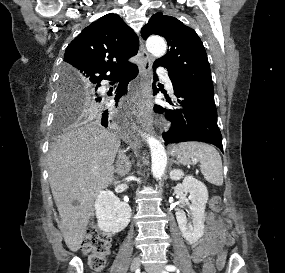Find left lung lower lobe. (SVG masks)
Returning <instances> with one entry per match:
<instances>
[{"instance_id": "0a47b994", "label": "left lung lower lobe", "mask_w": 285, "mask_h": 273, "mask_svg": "<svg viewBox=\"0 0 285 273\" xmlns=\"http://www.w3.org/2000/svg\"><path fill=\"white\" fill-rule=\"evenodd\" d=\"M157 66L154 64V68ZM170 79L175 95L179 98L178 108L154 106L156 112H164L166 118L172 122L170 130L163 133L165 145L183 141H202L217 146L223 152L222 135L217 125L214 90L184 86L173 81L171 76ZM157 92L154 91V94Z\"/></svg>"}]
</instances>
